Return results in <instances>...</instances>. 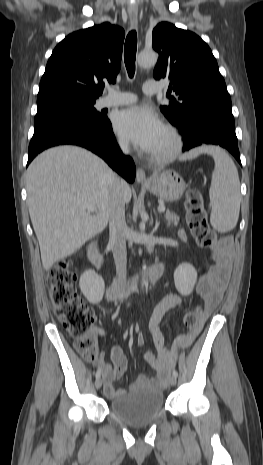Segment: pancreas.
<instances>
[{"instance_id": "pancreas-1", "label": "pancreas", "mask_w": 263, "mask_h": 465, "mask_svg": "<svg viewBox=\"0 0 263 465\" xmlns=\"http://www.w3.org/2000/svg\"><path fill=\"white\" fill-rule=\"evenodd\" d=\"M165 219L167 221L168 226H177L179 222V217L174 212L170 211L166 212Z\"/></svg>"}]
</instances>
